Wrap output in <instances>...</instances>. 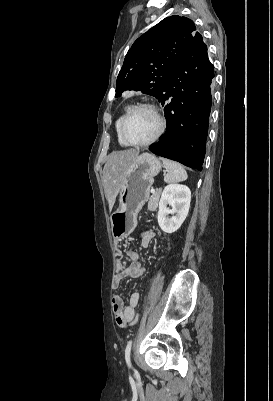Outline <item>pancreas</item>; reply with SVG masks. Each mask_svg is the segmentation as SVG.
<instances>
[{"label":"pancreas","mask_w":273,"mask_h":401,"mask_svg":"<svg viewBox=\"0 0 273 401\" xmlns=\"http://www.w3.org/2000/svg\"><path fill=\"white\" fill-rule=\"evenodd\" d=\"M161 194V190H156V192H153L151 194L149 201H148V211H156L158 207V201H159V196Z\"/></svg>","instance_id":"1"}]
</instances>
